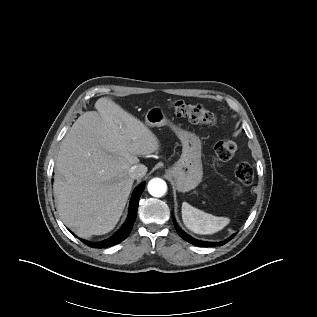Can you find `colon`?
<instances>
[{
	"instance_id": "obj_1",
	"label": "colon",
	"mask_w": 317,
	"mask_h": 317,
	"mask_svg": "<svg viewBox=\"0 0 317 317\" xmlns=\"http://www.w3.org/2000/svg\"><path fill=\"white\" fill-rule=\"evenodd\" d=\"M171 109L175 115L187 117L195 123L214 125L217 122L216 116L201 104L178 100L171 104ZM235 152L236 143L232 139L227 138L219 141L214 148V165H220L231 160ZM235 177L234 192L239 194L241 186L249 185L253 181L254 172L252 166L245 161L239 162L235 168Z\"/></svg>"
}]
</instances>
